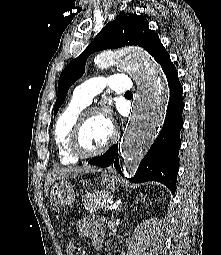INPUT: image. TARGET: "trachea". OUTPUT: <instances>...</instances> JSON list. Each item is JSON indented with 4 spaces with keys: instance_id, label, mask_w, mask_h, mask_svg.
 <instances>
[{
    "instance_id": "trachea-1",
    "label": "trachea",
    "mask_w": 221,
    "mask_h": 255,
    "mask_svg": "<svg viewBox=\"0 0 221 255\" xmlns=\"http://www.w3.org/2000/svg\"><path fill=\"white\" fill-rule=\"evenodd\" d=\"M125 95H132V93L131 92H127V93H125Z\"/></svg>"
}]
</instances>
